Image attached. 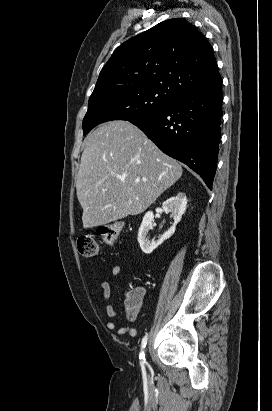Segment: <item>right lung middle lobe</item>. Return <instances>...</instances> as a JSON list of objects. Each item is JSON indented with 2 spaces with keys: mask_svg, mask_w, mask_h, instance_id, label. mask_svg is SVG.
Instances as JSON below:
<instances>
[{
  "mask_svg": "<svg viewBox=\"0 0 272 411\" xmlns=\"http://www.w3.org/2000/svg\"><path fill=\"white\" fill-rule=\"evenodd\" d=\"M175 99L168 90L153 87H128L93 92L82 124L84 135L103 122H131L149 117L168 107Z\"/></svg>",
  "mask_w": 272,
  "mask_h": 411,
  "instance_id": "obj_1",
  "label": "right lung middle lobe"
}]
</instances>
